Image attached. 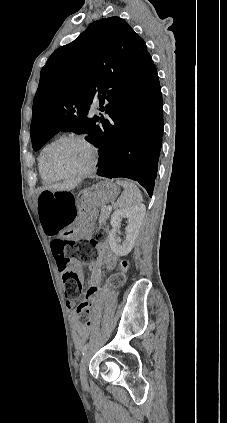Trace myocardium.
Returning a JSON list of instances; mask_svg holds the SVG:
<instances>
[{"mask_svg": "<svg viewBox=\"0 0 227 423\" xmlns=\"http://www.w3.org/2000/svg\"><path fill=\"white\" fill-rule=\"evenodd\" d=\"M69 142H79L84 144L85 146H87L90 151H91V162L90 164L81 172L77 173V174H68L65 172H62L58 169H56L50 161V158L52 156V154L61 146H63L66 143ZM99 161V151L97 149V147L89 140L87 139L85 136L82 135H76V134H71V135H66L63 136L59 139H57L55 142H53L44 152V157H43V165L45 170L47 171V173H49L51 176L58 178V179H64V180H68V181H78L81 180L85 177H87L88 175L92 174L97 167Z\"/></svg>", "mask_w": 227, "mask_h": 423, "instance_id": "obj_1", "label": "myocardium"}]
</instances>
